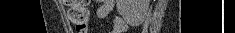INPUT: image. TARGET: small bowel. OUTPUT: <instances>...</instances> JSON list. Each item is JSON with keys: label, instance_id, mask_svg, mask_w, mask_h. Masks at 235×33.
Wrapping results in <instances>:
<instances>
[{"label": "small bowel", "instance_id": "1", "mask_svg": "<svg viewBox=\"0 0 235 33\" xmlns=\"http://www.w3.org/2000/svg\"><path fill=\"white\" fill-rule=\"evenodd\" d=\"M114 2L112 0H102L99 2L96 14L100 19L107 18L113 11ZM127 24L120 16L114 17L110 33H125Z\"/></svg>", "mask_w": 235, "mask_h": 33}]
</instances>
